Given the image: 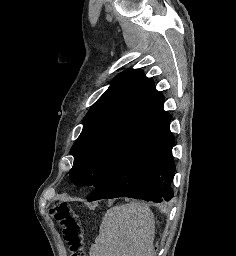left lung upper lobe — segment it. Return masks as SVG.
<instances>
[{
    "mask_svg": "<svg viewBox=\"0 0 236 256\" xmlns=\"http://www.w3.org/2000/svg\"><path fill=\"white\" fill-rule=\"evenodd\" d=\"M164 97L139 69L120 73L90 108L71 148L69 171L77 186L96 187L111 171L137 129L163 107Z\"/></svg>",
    "mask_w": 236,
    "mask_h": 256,
    "instance_id": "1",
    "label": "left lung upper lobe"
}]
</instances>
